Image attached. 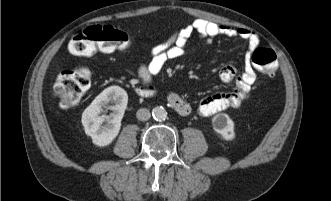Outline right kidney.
Returning a JSON list of instances; mask_svg holds the SVG:
<instances>
[{"instance_id": "ca27d5eb", "label": "right kidney", "mask_w": 331, "mask_h": 201, "mask_svg": "<svg viewBox=\"0 0 331 201\" xmlns=\"http://www.w3.org/2000/svg\"><path fill=\"white\" fill-rule=\"evenodd\" d=\"M127 103L126 91L119 86H110L104 89L84 110L81 121L86 135L92 138L95 145L107 146L117 137ZM104 109H110L111 114L109 116L102 114Z\"/></svg>"}]
</instances>
